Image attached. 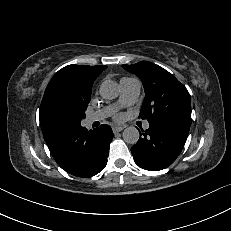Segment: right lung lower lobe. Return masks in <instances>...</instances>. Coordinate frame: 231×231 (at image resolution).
<instances>
[{
	"mask_svg": "<svg viewBox=\"0 0 231 231\" xmlns=\"http://www.w3.org/2000/svg\"><path fill=\"white\" fill-rule=\"evenodd\" d=\"M112 138V129L106 124L87 131L79 123L69 126L49 144V149L65 171L77 177H90L106 166Z\"/></svg>",
	"mask_w": 231,
	"mask_h": 231,
	"instance_id": "right-lung-lower-lobe-1",
	"label": "right lung lower lobe"
}]
</instances>
